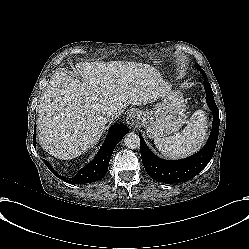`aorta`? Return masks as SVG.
Segmentation results:
<instances>
[{
    "mask_svg": "<svg viewBox=\"0 0 249 249\" xmlns=\"http://www.w3.org/2000/svg\"><path fill=\"white\" fill-rule=\"evenodd\" d=\"M124 144L127 148L136 149L140 146V138L135 133H128L124 137Z\"/></svg>",
    "mask_w": 249,
    "mask_h": 249,
    "instance_id": "obj_1",
    "label": "aorta"
}]
</instances>
